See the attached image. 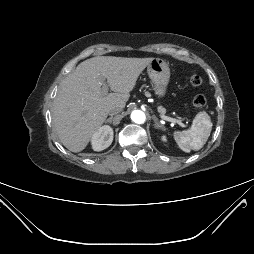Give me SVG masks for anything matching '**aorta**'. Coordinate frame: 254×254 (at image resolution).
<instances>
[{"label":"aorta","instance_id":"aorta-1","mask_svg":"<svg viewBox=\"0 0 254 254\" xmlns=\"http://www.w3.org/2000/svg\"><path fill=\"white\" fill-rule=\"evenodd\" d=\"M131 119H132L135 123L142 124V123L145 122L146 116H145V113H144L143 111L134 110V111L131 113Z\"/></svg>","mask_w":254,"mask_h":254}]
</instances>
